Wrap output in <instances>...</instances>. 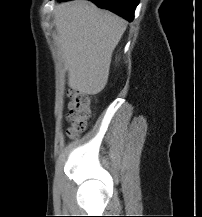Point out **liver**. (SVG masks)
<instances>
[{
    "instance_id": "obj_1",
    "label": "liver",
    "mask_w": 202,
    "mask_h": 217,
    "mask_svg": "<svg viewBox=\"0 0 202 217\" xmlns=\"http://www.w3.org/2000/svg\"><path fill=\"white\" fill-rule=\"evenodd\" d=\"M54 23L69 87L83 94L100 93L126 22L86 0H74L55 5Z\"/></svg>"
}]
</instances>
